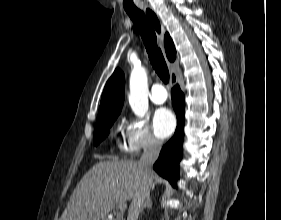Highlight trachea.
<instances>
[{"mask_svg": "<svg viewBox=\"0 0 281 220\" xmlns=\"http://www.w3.org/2000/svg\"><path fill=\"white\" fill-rule=\"evenodd\" d=\"M126 12L140 32L153 68L160 79L167 84L169 82V71L161 49L157 46V37L153 27L150 25L143 11L136 9L126 10Z\"/></svg>", "mask_w": 281, "mask_h": 220, "instance_id": "3493384b", "label": "trachea"}]
</instances>
